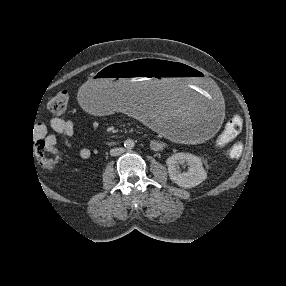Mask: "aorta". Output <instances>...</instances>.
<instances>
[{"label": "aorta", "mask_w": 286, "mask_h": 286, "mask_svg": "<svg viewBox=\"0 0 286 286\" xmlns=\"http://www.w3.org/2000/svg\"><path fill=\"white\" fill-rule=\"evenodd\" d=\"M134 146H135V142H134L132 139H127V140L124 142V147H125L127 150L133 149Z\"/></svg>", "instance_id": "aorta-1"}]
</instances>
